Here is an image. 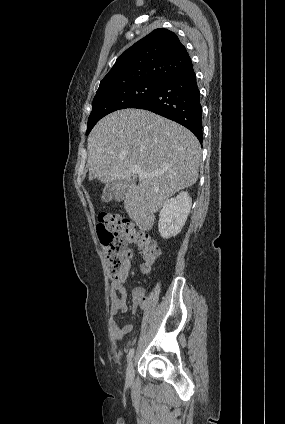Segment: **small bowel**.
I'll use <instances>...</instances> for the list:
<instances>
[{
	"label": "small bowel",
	"instance_id": "c3829d8e",
	"mask_svg": "<svg viewBox=\"0 0 285 424\" xmlns=\"http://www.w3.org/2000/svg\"><path fill=\"white\" fill-rule=\"evenodd\" d=\"M129 263L125 265L122 274L117 278L113 279L111 283L110 292V315L115 317L117 315L125 314L127 312V288L126 281L128 278ZM133 301L131 312L134 314L139 308L146 310L149 305V299L145 294L143 287H136L132 291ZM111 327L113 330L114 339L117 342H121L126 334L132 330V323L127 322L120 326L115 320H111Z\"/></svg>",
	"mask_w": 285,
	"mask_h": 424
}]
</instances>
